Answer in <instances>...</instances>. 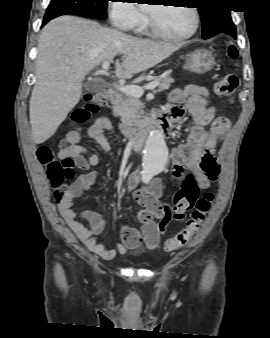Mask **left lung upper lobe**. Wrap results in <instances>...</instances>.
Here are the masks:
<instances>
[{
    "instance_id": "obj_1",
    "label": "left lung upper lobe",
    "mask_w": 270,
    "mask_h": 338,
    "mask_svg": "<svg viewBox=\"0 0 270 338\" xmlns=\"http://www.w3.org/2000/svg\"><path fill=\"white\" fill-rule=\"evenodd\" d=\"M227 0H199L198 7L202 19V38L208 39L232 26L229 9L226 8Z\"/></svg>"
}]
</instances>
